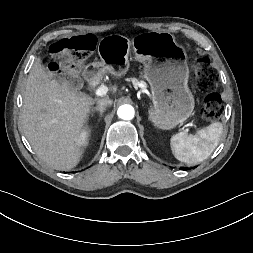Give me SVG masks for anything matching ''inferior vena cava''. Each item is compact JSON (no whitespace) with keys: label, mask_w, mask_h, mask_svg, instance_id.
Segmentation results:
<instances>
[{"label":"inferior vena cava","mask_w":253,"mask_h":253,"mask_svg":"<svg viewBox=\"0 0 253 253\" xmlns=\"http://www.w3.org/2000/svg\"><path fill=\"white\" fill-rule=\"evenodd\" d=\"M98 107H107V106H111L113 104V101L109 98H103L98 100L97 102Z\"/></svg>","instance_id":"obj_1"}]
</instances>
